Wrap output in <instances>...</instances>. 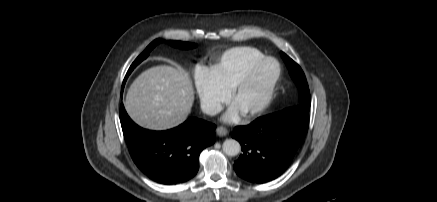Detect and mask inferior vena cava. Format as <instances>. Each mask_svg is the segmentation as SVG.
Masks as SVG:
<instances>
[{"instance_id":"602c4592","label":"inferior vena cava","mask_w":437,"mask_h":202,"mask_svg":"<svg viewBox=\"0 0 437 202\" xmlns=\"http://www.w3.org/2000/svg\"><path fill=\"white\" fill-rule=\"evenodd\" d=\"M201 109L204 113L208 115H216L221 112L222 106L220 104L203 103L201 105Z\"/></svg>"}]
</instances>
